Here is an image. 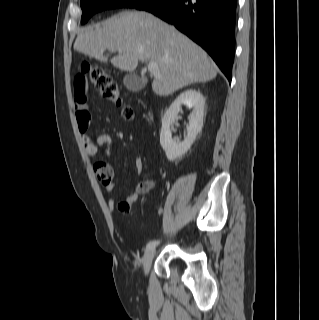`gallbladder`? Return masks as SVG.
<instances>
[{
  "instance_id": "gallbladder-1",
  "label": "gallbladder",
  "mask_w": 319,
  "mask_h": 320,
  "mask_svg": "<svg viewBox=\"0 0 319 320\" xmlns=\"http://www.w3.org/2000/svg\"><path fill=\"white\" fill-rule=\"evenodd\" d=\"M123 83L128 90L138 92L145 87L146 80L137 74H129L124 77Z\"/></svg>"
}]
</instances>
